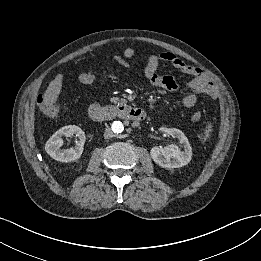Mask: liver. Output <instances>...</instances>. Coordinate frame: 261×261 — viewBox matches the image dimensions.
<instances>
[{
	"mask_svg": "<svg viewBox=\"0 0 261 261\" xmlns=\"http://www.w3.org/2000/svg\"><path fill=\"white\" fill-rule=\"evenodd\" d=\"M63 74H57L55 79L49 83L43 95V108L52 106L56 103L62 89Z\"/></svg>",
	"mask_w": 261,
	"mask_h": 261,
	"instance_id": "1",
	"label": "liver"
}]
</instances>
